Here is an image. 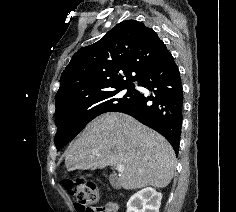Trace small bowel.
Masks as SVG:
<instances>
[{
  "label": "small bowel",
  "mask_w": 236,
  "mask_h": 212,
  "mask_svg": "<svg viewBox=\"0 0 236 212\" xmlns=\"http://www.w3.org/2000/svg\"><path fill=\"white\" fill-rule=\"evenodd\" d=\"M120 210H121L120 204L116 202H111L103 208L102 212H120Z\"/></svg>",
  "instance_id": "small-bowel-1"
}]
</instances>
